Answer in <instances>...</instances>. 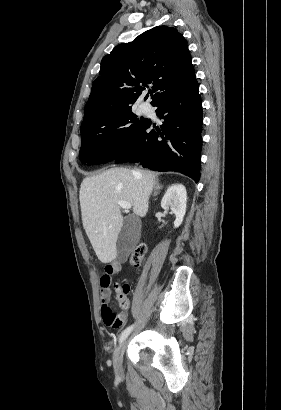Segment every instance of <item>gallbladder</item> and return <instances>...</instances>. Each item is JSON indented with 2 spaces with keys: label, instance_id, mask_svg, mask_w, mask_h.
Instances as JSON below:
<instances>
[{
  "label": "gallbladder",
  "instance_id": "bac80fb5",
  "mask_svg": "<svg viewBox=\"0 0 281 410\" xmlns=\"http://www.w3.org/2000/svg\"><path fill=\"white\" fill-rule=\"evenodd\" d=\"M138 239L139 232L136 227V219L134 216H128L124 220L116 243L118 262L124 263L127 260Z\"/></svg>",
  "mask_w": 281,
  "mask_h": 410
}]
</instances>
